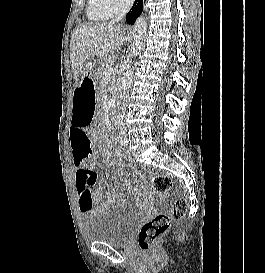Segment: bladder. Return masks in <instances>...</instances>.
Listing matches in <instances>:
<instances>
[{
    "label": "bladder",
    "instance_id": "1",
    "mask_svg": "<svg viewBox=\"0 0 265 273\" xmlns=\"http://www.w3.org/2000/svg\"><path fill=\"white\" fill-rule=\"evenodd\" d=\"M137 222V213L132 208H104L92 214L84 232L89 240L121 247L133 236Z\"/></svg>",
    "mask_w": 265,
    "mask_h": 273
}]
</instances>
